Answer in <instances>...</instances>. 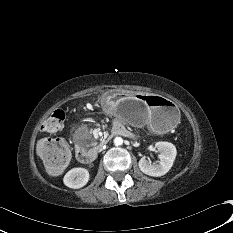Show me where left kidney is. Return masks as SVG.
Instances as JSON below:
<instances>
[{
    "mask_svg": "<svg viewBox=\"0 0 233 233\" xmlns=\"http://www.w3.org/2000/svg\"><path fill=\"white\" fill-rule=\"evenodd\" d=\"M159 152V163H151L145 158L139 160L140 170L153 177H159L165 175L173 166L177 151L176 147L169 142H157L155 144Z\"/></svg>",
    "mask_w": 233,
    "mask_h": 233,
    "instance_id": "obj_1",
    "label": "left kidney"
}]
</instances>
